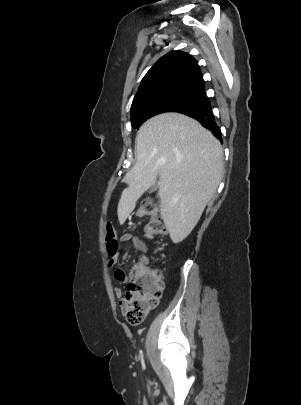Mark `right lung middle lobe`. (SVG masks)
<instances>
[{"label": "right lung middle lobe", "mask_w": 301, "mask_h": 405, "mask_svg": "<svg viewBox=\"0 0 301 405\" xmlns=\"http://www.w3.org/2000/svg\"><path fill=\"white\" fill-rule=\"evenodd\" d=\"M204 92L189 88H175L140 99L131 107V123L139 128L147 119L164 112H180L209 106Z\"/></svg>", "instance_id": "obj_1"}]
</instances>
